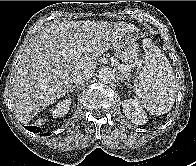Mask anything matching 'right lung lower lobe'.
<instances>
[{"mask_svg": "<svg viewBox=\"0 0 196 166\" xmlns=\"http://www.w3.org/2000/svg\"><path fill=\"white\" fill-rule=\"evenodd\" d=\"M26 129H28L31 132L39 133L41 136H49L50 133H44L41 128L36 126H25Z\"/></svg>", "mask_w": 196, "mask_h": 166, "instance_id": "obj_1", "label": "right lung lower lobe"}]
</instances>
